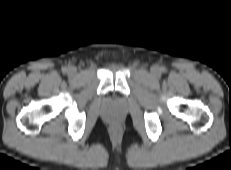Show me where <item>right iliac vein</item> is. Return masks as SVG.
I'll return each instance as SVG.
<instances>
[{
	"label": "right iliac vein",
	"instance_id": "right-iliac-vein-1",
	"mask_svg": "<svg viewBox=\"0 0 231 170\" xmlns=\"http://www.w3.org/2000/svg\"><path fill=\"white\" fill-rule=\"evenodd\" d=\"M67 72L69 75L73 76L77 73V68L75 66H70L68 69H67Z\"/></svg>",
	"mask_w": 231,
	"mask_h": 170
}]
</instances>
